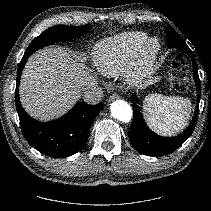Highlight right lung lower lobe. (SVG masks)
I'll return each mask as SVG.
<instances>
[{
    "label": "right lung lower lobe",
    "instance_id": "right-lung-lower-lobe-1",
    "mask_svg": "<svg viewBox=\"0 0 211 211\" xmlns=\"http://www.w3.org/2000/svg\"><path fill=\"white\" fill-rule=\"evenodd\" d=\"M29 56L24 54L21 59L16 78L15 102L22 133L31 146L49 157L73 155L87 142L91 124L103 109V103L76 104L67 114L51 122L33 119L25 112L19 101V82Z\"/></svg>",
    "mask_w": 211,
    "mask_h": 211
}]
</instances>
